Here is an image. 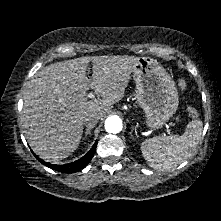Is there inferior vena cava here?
Wrapping results in <instances>:
<instances>
[{
	"label": "inferior vena cava",
	"mask_w": 221,
	"mask_h": 221,
	"mask_svg": "<svg viewBox=\"0 0 221 221\" xmlns=\"http://www.w3.org/2000/svg\"><path fill=\"white\" fill-rule=\"evenodd\" d=\"M99 120L96 114H87L83 117V124L88 128H93Z\"/></svg>",
	"instance_id": "inferior-vena-cava-1"
}]
</instances>
